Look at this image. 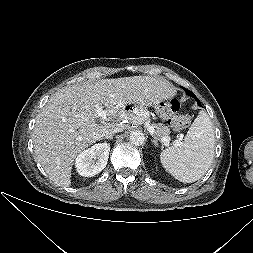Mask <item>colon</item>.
Returning <instances> with one entry per match:
<instances>
[{
  "instance_id": "colon-1",
  "label": "colon",
  "mask_w": 253,
  "mask_h": 253,
  "mask_svg": "<svg viewBox=\"0 0 253 253\" xmlns=\"http://www.w3.org/2000/svg\"><path fill=\"white\" fill-rule=\"evenodd\" d=\"M180 103L178 100L174 99L167 103V114L169 115L170 125L176 129H182L189 125L190 117L187 114H179Z\"/></svg>"
}]
</instances>
